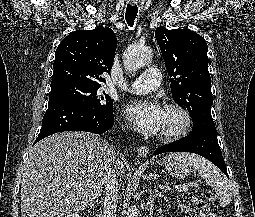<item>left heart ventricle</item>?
<instances>
[{
	"label": "left heart ventricle",
	"mask_w": 255,
	"mask_h": 217,
	"mask_svg": "<svg viewBox=\"0 0 255 217\" xmlns=\"http://www.w3.org/2000/svg\"><path fill=\"white\" fill-rule=\"evenodd\" d=\"M181 124L180 115L176 111L164 110V119L160 133L176 129Z\"/></svg>",
	"instance_id": "b2bd125f"
}]
</instances>
